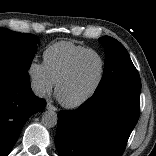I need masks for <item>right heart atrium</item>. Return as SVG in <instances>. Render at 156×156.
I'll list each match as a JSON object with an SVG mask.
<instances>
[{
	"instance_id": "1",
	"label": "right heart atrium",
	"mask_w": 156,
	"mask_h": 156,
	"mask_svg": "<svg viewBox=\"0 0 156 156\" xmlns=\"http://www.w3.org/2000/svg\"><path fill=\"white\" fill-rule=\"evenodd\" d=\"M28 75L37 95L44 96L52 91L55 83L49 76L44 63L32 61L28 67Z\"/></svg>"
}]
</instances>
